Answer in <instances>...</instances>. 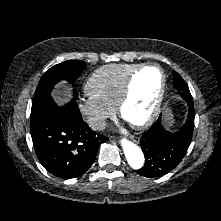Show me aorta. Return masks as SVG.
Listing matches in <instances>:
<instances>
[{
  "label": "aorta",
  "instance_id": "762f6f07",
  "mask_svg": "<svg viewBox=\"0 0 221 221\" xmlns=\"http://www.w3.org/2000/svg\"><path fill=\"white\" fill-rule=\"evenodd\" d=\"M121 146L128 164L134 169L141 168L144 164V155L142 150L136 144L127 139L121 140Z\"/></svg>",
  "mask_w": 221,
  "mask_h": 221
}]
</instances>
